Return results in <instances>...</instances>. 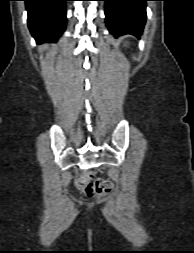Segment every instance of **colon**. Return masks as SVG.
<instances>
[{"mask_svg":"<svg viewBox=\"0 0 194 253\" xmlns=\"http://www.w3.org/2000/svg\"><path fill=\"white\" fill-rule=\"evenodd\" d=\"M77 186L85 191L89 197H103L108 195L113 188L110 180L96 178L91 172H83L77 179Z\"/></svg>","mask_w":194,"mask_h":253,"instance_id":"colon-1","label":"colon"}]
</instances>
